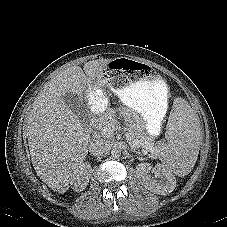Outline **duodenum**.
<instances>
[{
    "mask_svg": "<svg viewBox=\"0 0 227 227\" xmlns=\"http://www.w3.org/2000/svg\"><path fill=\"white\" fill-rule=\"evenodd\" d=\"M97 121H98V117H97V116H92V117L89 119V129L93 130L94 127H95L96 124H97Z\"/></svg>",
    "mask_w": 227,
    "mask_h": 227,
    "instance_id": "duodenum-1",
    "label": "duodenum"
}]
</instances>
